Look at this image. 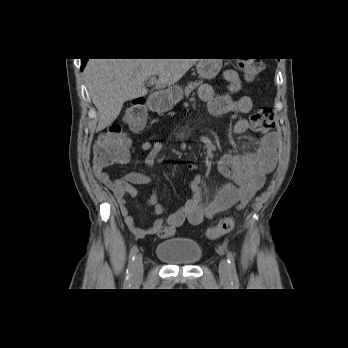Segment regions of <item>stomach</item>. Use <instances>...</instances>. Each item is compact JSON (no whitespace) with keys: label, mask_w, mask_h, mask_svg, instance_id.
<instances>
[{"label":"stomach","mask_w":348,"mask_h":348,"mask_svg":"<svg viewBox=\"0 0 348 348\" xmlns=\"http://www.w3.org/2000/svg\"><path fill=\"white\" fill-rule=\"evenodd\" d=\"M221 67V59H199L196 70L200 78L211 80L216 77ZM182 97V88L178 85H174L158 93L152 103V107L158 112L169 111L182 99Z\"/></svg>","instance_id":"stomach-1"}]
</instances>
